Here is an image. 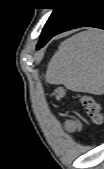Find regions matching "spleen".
I'll list each match as a JSON object with an SVG mask.
<instances>
[{"instance_id": "spleen-1", "label": "spleen", "mask_w": 104, "mask_h": 169, "mask_svg": "<svg viewBox=\"0 0 104 169\" xmlns=\"http://www.w3.org/2000/svg\"><path fill=\"white\" fill-rule=\"evenodd\" d=\"M46 82L95 95L104 93V34L90 29L80 32L58 47L48 64Z\"/></svg>"}]
</instances>
